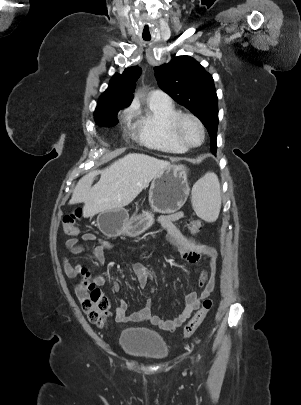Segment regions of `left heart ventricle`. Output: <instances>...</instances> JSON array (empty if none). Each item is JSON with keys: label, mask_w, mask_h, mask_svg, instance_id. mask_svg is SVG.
Returning <instances> with one entry per match:
<instances>
[{"label": "left heart ventricle", "mask_w": 301, "mask_h": 405, "mask_svg": "<svg viewBox=\"0 0 301 405\" xmlns=\"http://www.w3.org/2000/svg\"><path fill=\"white\" fill-rule=\"evenodd\" d=\"M182 134L184 138L193 145L201 142L202 134L199 126L191 119H186L182 123Z\"/></svg>", "instance_id": "obj_1"}]
</instances>
